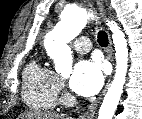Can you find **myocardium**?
Segmentation results:
<instances>
[{
	"mask_svg": "<svg viewBox=\"0 0 142 119\" xmlns=\"http://www.w3.org/2000/svg\"><path fill=\"white\" fill-rule=\"evenodd\" d=\"M65 103H66V104H72V103H73V99L70 98V97H67V98L65 99Z\"/></svg>",
	"mask_w": 142,
	"mask_h": 119,
	"instance_id": "f54148a6",
	"label": "myocardium"
}]
</instances>
